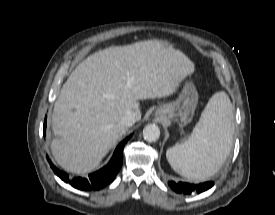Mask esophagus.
I'll return each instance as SVG.
<instances>
[{"label":"esophagus","mask_w":275,"mask_h":215,"mask_svg":"<svg viewBox=\"0 0 275 215\" xmlns=\"http://www.w3.org/2000/svg\"><path fill=\"white\" fill-rule=\"evenodd\" d=\"M156 116H157V118L160 119V120L164 118V114H163L161 111H158V112L156 113Z\"/></svg>","instance_id":"esophagus-1"}]
</instances>
